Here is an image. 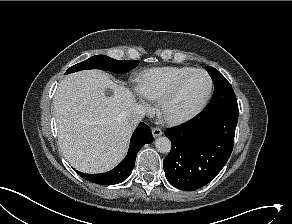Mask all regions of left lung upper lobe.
<instances>
[{"label": "left lung upper lobe", "instance_id": "1", "mask_svg": "<svg viewBox=\"0 0 292 224\" xmlns=\"http://www.w3.org/2000/svg\"><path fill=\"white\" fill-rule=\"evenodd\" d=\"M206 70L214 82V93L206 109L216 107L223 103L237 101L233 88L226 78L211 66H207Z\"/></svg>", "mask_w": 292, "mask_h": 224}]
</instances>
